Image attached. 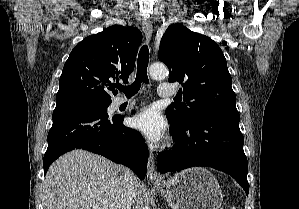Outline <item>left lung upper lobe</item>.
Returning <instances> with one entry per match:
<instances>
[{"label":"left lung upper lobe","instance_id":"obj_1","mask_svg":"<svg viewBox=\"0 0 299 209\" xmlns=\"http://www.w3.org/2000/svg\"><path fill=\"white\" fill-rule=\"evenodd\" d=\"M158 58L170 70L168 81L182 84L184 102L166 109L170 123L185 124L208 107L236 106L226 59L211 38L172 24L163 34Z\"/></svg>","mask_w":299,"mask_h":209}]
</instances>
